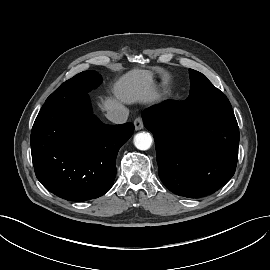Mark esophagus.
Masks as SVG:
<instances>
[{
	"mask_svg": "<svg viewBox=\"0 0 270 270\" xmlns=\"http://www.w3.org/2000/svg\"><path fill=\"white\" fill-rule=\"evenodd\" d=\"M134 127L136 131L143 129L144 125L141 117H138L134 120Z\"/></svg>",
	"mask_w": 270,
	"mask_h": 270,
	"instance_id": "1",
	"label": "esophagus"
}]
</instances>
